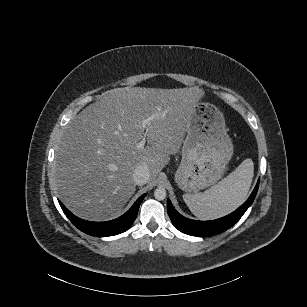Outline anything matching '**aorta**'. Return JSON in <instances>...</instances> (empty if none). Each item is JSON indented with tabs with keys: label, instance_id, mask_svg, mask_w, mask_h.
I'll return each instance as SVG.
<instances>
[{
	"label": "aorta",
	"instance_id": "762f6f07",
	"mask_svg": "<svg viewBox=\"0 0 307 307\" xmlns=\"http://www.w3.org/2000/svg\"><path fill=\"white\" fill-rule=\"evenodd\" d=\"M154 197L157 200H163L166 197V190L164 188L158 187L154 191Z\"/></svg>",
	"mask_w": 307,
	"mask_h": 307
}]
</instances>
